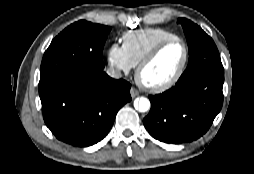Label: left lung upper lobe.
Listing matches in <instances>:
<instances>
[{
	"mask_svg": "<svg viewBox=\"0 0 254 174\" xmlns=\"http://www.w3.org/2000/svg\"><path fill=\"white\" fill-rule=\"evenodd\" d=\"M177 22L183 27L189 49L188 66L179 80L185 81L204 72L223 73L220 55L212 38L188 19L179 18Z\"/></svg>",
	"mask_w": 254,
	"mask_h": 174,
	"instance_id": "left-lung-upper-lobe-1",
	"label": "left lung upper lobe"
}]
</instances>
